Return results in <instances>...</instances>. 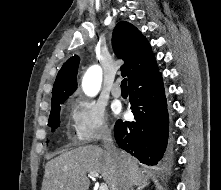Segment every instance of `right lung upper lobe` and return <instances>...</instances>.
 Returning <instances> with one entry per match:
<instances>
[{"mask_svg":"<svg viewBox=\"0 0 221 190\" xmlns=\"http://www.w3.org/2000/svg\"><path fill=\"white\" fill-rule=\"evenodd\" d=\"M112 44L115 54L125 61L121 72L128 77L129 87L150 80L159 73L150 44L132 24L119 22L113 31ZM79 60L78 56L71 57L58 72L52 91V103L66 100L76 90Z\"/></svg>","mask_w":221,"mask_h":190,"instance_id":"right-lung-upper-lobe-1","label":"right lung upper lobe"}]
</instances>
